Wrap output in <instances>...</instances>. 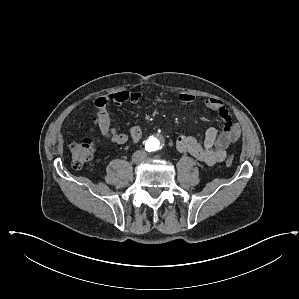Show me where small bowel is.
Wrapping results in <instances>:
<instances>
[{"instance_id":"c3829d8e","label":"small bowel","mask_w":299,"mask_h":299,"mask_svg":"<svg viewBox=\"0 0 299 299\" xmlns=\"http://www.w3.org/2000/svg\"><path fill=\"white\" fill-rule=\"evenodd\" d=\"M142 94L138 91L123 90L106 96H100L95 100V107L98 111V126L101 134L113 143L122 145L129 138L133 144L140 142L142 129L138 125H133L129 129L130 137L118 131L114 120L107 111L109 104L121 106L125 103L135 104L139 102ZM179 100L184 104L193 103L195 97L190 94H180ZM204 104L208 110L216 113L222 121V131L214 127L206 131L203 142H199L190 135H180L177 137L175 145L180 152H185L195 157L200 162L207 165H214L222 162L226 157V150L230 144L238 140L241 135L239 125L234 122L224 104L215 98H206Z\"/></svg>"}]
</instances>
